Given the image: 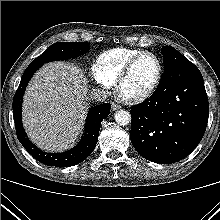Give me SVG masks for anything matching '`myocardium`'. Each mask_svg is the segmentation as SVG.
Instances as JSON below:
<instances>
[{
    "label": "myocardium",
    "mask_w": 220,
    "mask_h": 220,
    "mask_svg": "<svg viewBox=\"0 0 220 220\" xmlns=\"http://www.w3.org/2000/svg\"><path fill=\"white\" fill-rule=\"evenodd\" d=\"M143 56H151L156 60V63H157V73H156V77H155L152 85L145 92H143L139 95L131 96V97H127V96L122 95L121 86H122L123 82L130 74L135 63ZM162 73H163V66H162V62H161V59L159 58V56L151 51H142V52L136 54L135 56H133L127 62V64L124 66V68L121 70L119 75L117 76L115 83H114L115 92H116L117 96L122 101H124L126 103H131V104L140 103V102L146 100L147 98H149L155 92V90L157 89V87L160 83Z\"/></svg>",
    "instance_id": "1"
}]
</instances>
